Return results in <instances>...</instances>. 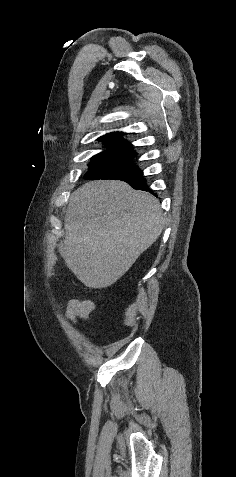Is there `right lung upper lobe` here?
Wrapping results in <instances>:
<instances>
[{
	"mask_svg": "<svg viewBox=\"0 0 236 477\" xmlns=\"http://www.w3.org/2000/svg\"><path fill=\"white\" fill-rule=\"evenodd\" d=\"M121 135H123L122 132H113L98 138V140L107 143L109 149L93 156L92 159L122 164L127 167L134 165L131 160L136 153L133 151L132 145L122 139Z\"/></svg>",
	"mask_w": 236,
	"mask_h": 477,
	"instance_id": "right-lung-upper-lobe-1",
	"label": "right lung upper lobe"
}]
</instances>
